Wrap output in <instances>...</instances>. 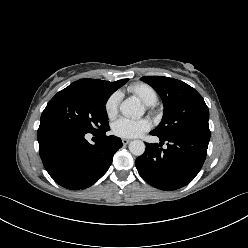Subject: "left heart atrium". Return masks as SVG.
<instances>
[{"mask_svg": "<svg viewBox=\"0 0 248 248\" xmlns=\"http://www.w3.org/2000/svg\"><path fill=\"white\" fill-rule=\"evenodd\" d=\"M150 129V123L146 119H131L122 117L112 125V131L116 136L123 138H135Z\"/></svg>", "mask_w": 248, "mask_h": 248, "instance_id": "obj_1", "label": "left heart atrium"}]
</instances>
